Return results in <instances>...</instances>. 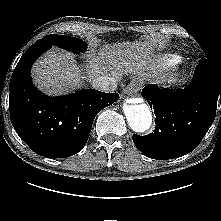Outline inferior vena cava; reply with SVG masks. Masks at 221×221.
<instances>
[{
    "mask_svg": "<svg viewBox=\"0 0 221 221\" xmlns=\"http://www.w3.org/2000/svg\"><path fill=\"white\" fill-rule=\"evenodd\" d=\"M91 85L96 90L103 92H111L116 90L117 80L113 77L103 75L93 78L91 80Z\"/></svg>",
    "mask_w": 221,
    "mask_h": 221,
    "instance_id": "602c4592",
    "label": "inferior vena cava"
}]
</instances>
